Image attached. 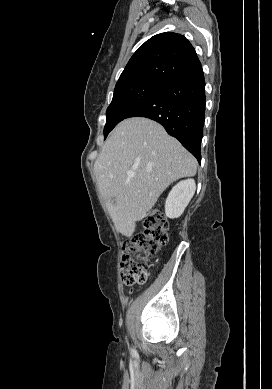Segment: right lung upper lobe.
<instances>
[{
  "mask_svg": "<svg viewBox=\"0 0 272 389\" xmlns=\"http://www.w3.org/2000/svg\"><path fill=\"white\" fill-rule=\"evenodd\" d=\"M200 66L195 49L184 36L172 32L160 33L133 54L116 87L143 80L167 84Z\"/></svg>",
  "mask_w": 272,
  "mask_h": 389,
  "instance_id": "1",
  "label": "right lung upper lobe"
}]
</instances>
